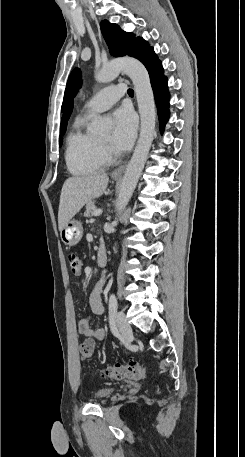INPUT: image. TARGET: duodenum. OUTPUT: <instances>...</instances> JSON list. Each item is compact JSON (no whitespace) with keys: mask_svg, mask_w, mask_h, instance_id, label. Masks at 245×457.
<instances>
[{"mask_svg":"<svg viewBox=\"0 0 245 457\" xmlns=\"http://www.w3.org/2000/svg\"><path fill=\"white\" fill-rule=\"evenodd\" d=\"M107 263V254L104 248H100L97 254V264L100 267H104Z\"/></svg>","mask_w":245,"mask_h":457,"instance_id":"1","label":"duodenum"}]
</instances>
